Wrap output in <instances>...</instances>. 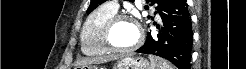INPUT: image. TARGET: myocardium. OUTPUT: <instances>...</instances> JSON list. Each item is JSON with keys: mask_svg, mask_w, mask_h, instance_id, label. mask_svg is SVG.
Here are the masks:
<instances>
[{"mask_svg": "<svg viewBox=\"0 0 246 69\" xmlns=\"http://www.w3.org/2000/svg\"><path fill=\"white\" fill-rule=\"evenodd\" d=\"M123 20H128L131 21L135 24L136 28H137V32H138V37L136 42L127 48H118L115 47L110 38L113 32V29L115 28V26L117 25V23H119L120 21ZM144 40V33H143V29L141 24L132 16L128 15V14H124V13H117L115 15H113L111 18H109L104 26V30H103V42L106 46V48L113 53H125V52H131L136 50L137 48H139L141 46V44L143 43Z\"/></svg>", "mask_w": 246, "mask_h": 69, "instance_id": "myocardium-1", "label": "myocardium"}]
</instances>
